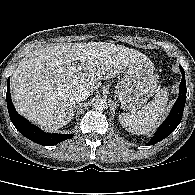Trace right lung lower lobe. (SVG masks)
<instances>
[{
	"label": "right lung lower lobe",
	"mask_w": 195,
	"mask_h": 195,
	"mask_svg": "<svg viewBox=\"0 0 195 195\" xmlns=\"http://www.w3.org/2000/svg\"><path fill=\"white\" fill-rule=\"evenodd\" d=\"M6 101L10 119L16 129L26 138L43 146H52L73 137V134H51L41 131L35 125L29 123L15 110L10 95V80L7 81Z\"/></svg>",
	"instance_id": "1"
}]
</instances>
